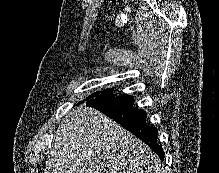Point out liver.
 <instances>
[{
    "instance_id": "liver-1",
    "label": "liver",
    "mask_w": 219,
    "mask_h": 173,
    "mask_svg": "<svg viewBox=\"0 0 219 173\" xmlns=\"http://www.w3.org/2000/svg\"><path fill=\"white\" fill-rule=\"evenodd\" d=\"M45 166L44 173H161L145 143L85 105L65 115Z\"/></svg>"
}]
</instances>
